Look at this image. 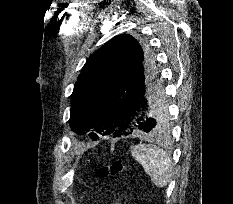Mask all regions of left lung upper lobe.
<instances>
[{"instance_id": "obj_1", "label": "left lung upper lobe", "mask_w": 233, "mask_h": 204, "mask_svg": "<svg viewBox=\"0 0 233 204\" xmlns=\"http://www.w3.org/2000/svg\"><path fill=\"white\" fill-rule=\"evenodd\" d=\"M153 56L134 37L121 34L96 50L82 68L72 93L70 126L78 135L121 136L117 111L129 85L144 65L153 63ZM155 109L158 129L169 124L165 96Z\"/></svg>"}]
</instances>
